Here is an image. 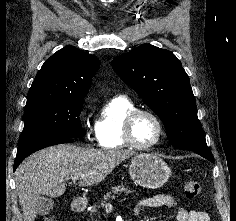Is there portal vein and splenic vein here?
I'll return each mask as SVG.
<instances>
[{
  "label": "portal vein and splenic vein",
  "mask_w": 236,
  "mask_h": 221,
  "mask_svg": "<svg viewBox=\"0 0 236 221\" xmlns=\"http://www.w3.org/2000/svg\"><path fill=\"white\" fill-rule=\"evenodd\" d=\"M76 180H78L77 177H73V178H72V181H73V182H75ZM105 206H106V207H111V204H110V203H106Z\"/></svg>",
  "instance_id": "obj_1"
}]
</instances>
